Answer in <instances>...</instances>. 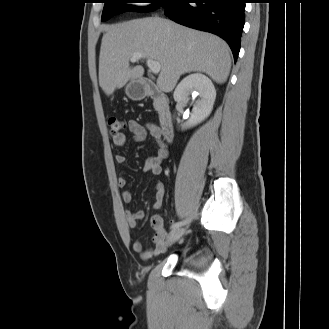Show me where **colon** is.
I'll list each match as a JSON object with an SVG mask.
<instances>
[{"label": "colon", "instance_id": "colon-1", "mask_svg": "<svg viewBox=\"0 0 329 329\" xmlns=\"http://www.w3.org/2000/svg\"><path fill=\"white\" fill-rule=\"evenodd\" d=\"M108 127L111 136H118L123 134L125 130V124L117 117H110L108 120Z\"/></svg>", "mask_w": 329, "mask_h": 329}]
</instances>
